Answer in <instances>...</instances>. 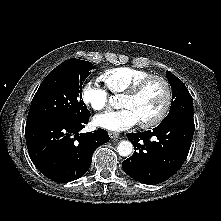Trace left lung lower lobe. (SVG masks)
<instances>
[{
    "instance_id": "obj_1",
    "label": "left lung lower lobe",
    "mask_w": 221,
    "mask_h": 221,
    "mask_svg": "<svg viewBox=\"0 0 221 221\" xmlns=\"http://www.w3.org/2000/svg\"><path fill=\"white\" fill-rule=\"evenodd\" d=\"M193 119L161 122L152 131L128 133L135 152L122 162L133 179L156 184L173 175L185 161L194 135Z\"/></svg>"
}]
</instances>
